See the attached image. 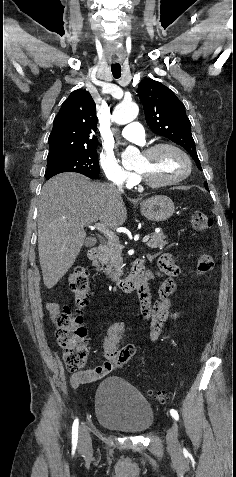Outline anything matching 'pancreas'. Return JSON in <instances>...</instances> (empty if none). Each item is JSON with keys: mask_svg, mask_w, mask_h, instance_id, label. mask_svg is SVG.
<instances>
[{"mask_svg": "<svg viewBox=\"0 0 236 477\" xmlns=\"http://www.w3.org/2000/svg\"><path fill=\"white\" fill-rule=\"evenodd\" d=\"M166 236L162 233H153L151 239L147 242L150 248H163L168 242ZM122 245L118 240L108 241L102 245L98 252V258L93 262L97 270L103 271L112 280H117L122 276ZM101 264V266L99 265Z\"/></svg>", "mask_w": 236, "mask_h": 477, "instance_id": "1", "label": "pancreas"}]
</instances>
